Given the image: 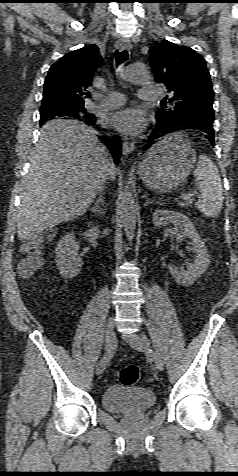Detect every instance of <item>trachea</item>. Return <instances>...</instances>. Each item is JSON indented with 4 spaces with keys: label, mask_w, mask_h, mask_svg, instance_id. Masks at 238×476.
Returning <instances> with one entry per match:
<instances>
[{
    "label": "trachea",
    "mask_w": 238,
    "mask_h": 476,
    "mask_svg": "<svg viewBox=\"0 0 238 476\" xmlns=\"http://www.w3.org/2000/svg\"><path fill=\"white\" fill-rule=\"evenodd\" d=\"M115 59H116V65L117 66L121 65L128 59V52L126 50H123L122 52H119L118 50H116Z\"/></svg>",
    "instance_id": "obj_1"
}]
</instances>
